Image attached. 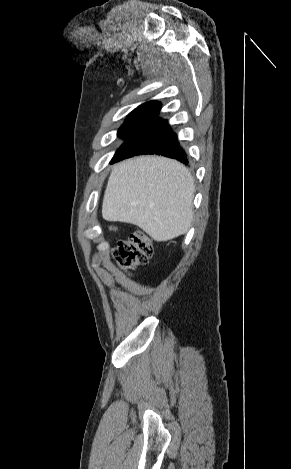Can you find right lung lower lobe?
Returning a JSON list of instances; mask_svg holds the SVG:
<instances>
[{
	"label": "right lung lower lobe",
	"mask_w": 291,
	"mask_h": 469,
	"mask_svg": "<svg viewBox=\"0 0 291 469\" xmlns=\"http://www.w3.org/2000/svg\"><path fill=\"white\" fill-rule=\"evenodd\" d=\"M140 154L163 155L185 165L189 164L187 154L180 146L177 135L170 129L167 121L157 116L126 139L111 162Z\"/></svg>",
	"instance_id": "1"
}]
</instances>
